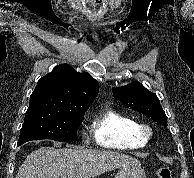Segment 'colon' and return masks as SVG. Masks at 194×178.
I'll return each instance as SVG.
<instances>
[{
	"label": "colon",
	"mask_w": 194,
	"mask_h": 178,
	"mask_svg": "<svg viewBox=\"0 0 194 178\" xmlns=\"http://www.w3.org/2000/svg\"><path fill=\"white\" fill-rule=\"evenodd\" d=\"M158 178H172V170L169 167H161L157 170Z\"/></svg>",
	"instance_id": "5ec220e1"
}]
</instances>
